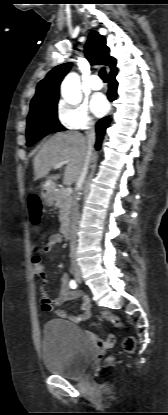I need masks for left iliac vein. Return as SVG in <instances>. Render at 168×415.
I'll use <instances>...</instances> for the list:
<instances>
[{
    "label": "left iliac vein",
    "mask_w": 168,
    "mask_h": 415,
    "mask_svg": "<svg viewBox=\"0 0 168 415\" xmlns=\"http://www.w3.org/2000/svg\"><path fill=\"white\" fill-rule=\"evenodd\" d=\"M77 281H78L79 283H81V278H77Z\"/></svg>",
    "instance_id": "4c4485c4"
}]
</instances>
